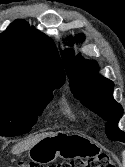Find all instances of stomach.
Wrapping results in <instances>:
<instances>
[{"mask_svg": "<svg viewBox=\"0 0 125 167\" xmlns=\"http://www.w3.org/2000/svg\"><path fill=\"white\" fill-rule=\"evenodd\" d=\"M100 148L81 133L56 132L37 142L28 150V156L37 164L51 163L58 157L71 159L97 155Z\"/></svg>", "mask_w": 125, "mask_h": 167, "instance_id": "0dacf381", "label": "stomach"}]
</instances>
